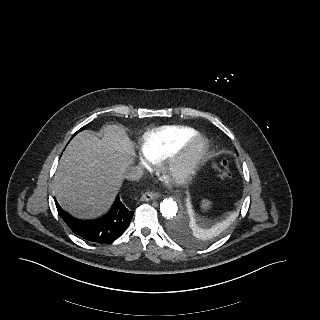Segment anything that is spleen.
Listing matches in <instances>:
<instances>
[{"mask_svg": "<svg viewBox=\"0 0 320 320\" xmlns=\"http://www.w3.org/2000/svg\"><path fill=\"white\" fill-rule=\"evenodd\" d=\"M210 207V201H202V208L207 210Z\"/></svg>", "mask_w": 320, "mask_h": 320, "instance_id": "obj_1", "label": "spleen"}]
</instances>
